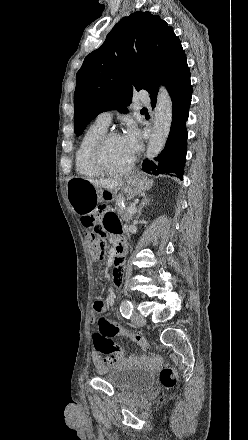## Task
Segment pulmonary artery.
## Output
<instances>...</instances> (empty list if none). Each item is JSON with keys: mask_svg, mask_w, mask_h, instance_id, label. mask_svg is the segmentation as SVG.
I'll list each match as a JSON object with an SVG mask.
<instances>
[{"mask_svg": "<svg viewBox=\"0 0 248 440\" xmlns=\"http://www.w3.org/2000/svg\"><path fill=\"white\" fill-rule=\"evenodd\" d=\"M139 98L143 101V102H147V97L144 93H140L139 94ZM114 112L113 111H104L101 112L100 114H98V116L96 117V122L104 127H108L112 121V117H113Z\"/></svg>", "mask_w": 248, "mask_h": 440, "instance_id": "1", "label": "pulmonary artery"}]
</instances>
